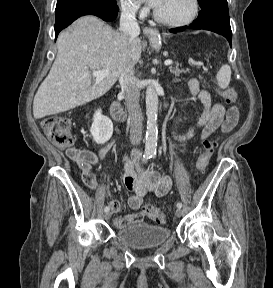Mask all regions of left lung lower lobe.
I'll return each mask as SVG.
<instances>
[{
    "label": "left lung lower lobe",
    "instance_id": "obj_1",
    "mask_svg": "<svg viewBox=\"0 0 273 288\" xmlns=\"http://www.w3.org/2000/svg\"><path fill=\"white\" fill-rule=\"evenodd\" d=\"M186 28L204 29L223 35L231 46L232 32L228 12V4H222L210 9L201 10L198 18L189 26L171 29L176 33L184 31Z\"/></svg>",
    "mask_w": 273,
    "mask_h": 288
}]
</instances>
